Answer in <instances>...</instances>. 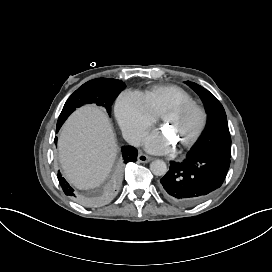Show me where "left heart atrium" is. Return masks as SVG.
Segmentation results:
<instances>
[{
  "instance_id": "1",
  "label": "left heart atrium",
  "mask_w": 272,
  "mask_h": 272,
  "mask_svg": "<svg viewBox=\"0 0 272 272\" xmlns=\"http://www.w3.org/2000/svg\"><path fill=\"white\" fill-rule=\"evenodd\" d=\"M170 138L160 130L150 132L146 137V147L155 153H165L170 150Z\"/></svg>"
}]
</instances>
